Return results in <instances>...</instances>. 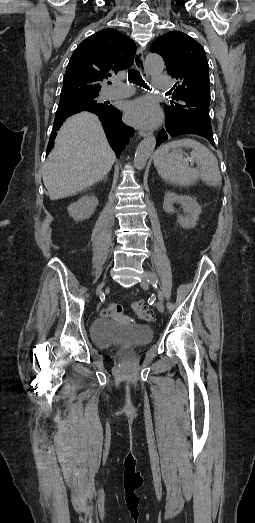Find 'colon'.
I'll use <instances>...</instances> for the list:
<instances>
[{
    "instance_id": "5ec220e1",
    "label": "colon",
    "mask_w": 255,
    "mask_h": 523,
    "mask_svg": "<svg viewBox=\"0 0 255 523\" xmlns=\"http://www.w3.org/2000/svg\"><path fill=\"white\" fill-rule=\"evenodd\" d=\"M132 309L135 314L142 320L150 322L153 320V314L149 311L143 301H135L132 303ZM123 311V307L117 303L109 304L104 310L105 315H119Z\"/></svg>"
}]
</instances>
